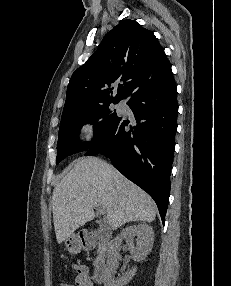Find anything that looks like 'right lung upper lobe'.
<instances>
[{
  "label": "right lung upper lobe",
  "instance_id": "cb5924a9",
  "mask_svg": "<svg viewBox=\"0 0 231 286\" xmlns=\"http://www.w3.org/2000/svg\"><path fill=\"white\" fill-rule=\"evenodd\" d=\"M170 72V63L155 35L134 20H123L73 73L62 116L104 102L120 101L136 83ZM118 82L122 84L117 89L111 87Z\"/></svg>",
  "mask_w": 231,
  "mask_h": 286
}]
</instances>
